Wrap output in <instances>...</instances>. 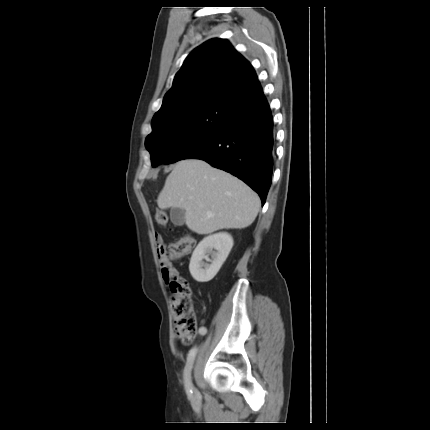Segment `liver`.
Segmentation results:
<instances>
[{
  "instance_id": "obj_1",
  "label": "liver",
  "mask_w": 430,
  "mask_h": 430,
  "mask_svg": "<svg viewBox=\"0 0 430 430\" xmlns=\"http://www.w3.org/2000/svg\"><path fill=\"white\" fill-rule=\"evenodd\" d=\"M158 207L181 208L197 234L246 228L255 220L260 199L232 174L200 159L179 161L157 199Z\"/></svg>"
}]
</instances>
